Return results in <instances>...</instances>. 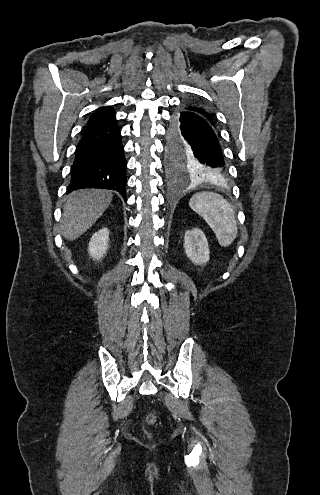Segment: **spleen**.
<instances>
[{"label":"spleen","mask_w":320,"mask_h":495,"mask_svg":"<svg viewBox=\"0 0 320 495\" xmlns=\"http://www.w3.org/2000/svg\"><path fill=\"white\" fill-rule=\"evenodd\" d=\"M189 206L209 225L220 246L233 243L238 228L234 211L226 199L213 192H200L192 196Z\"/></svg>","instance_id":"obj_1"}]
</instances>
